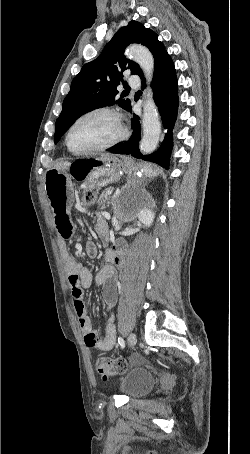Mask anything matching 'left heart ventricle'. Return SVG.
Returning a JSON list of instances; mask_svg holds the SVG:
<instances>
[{"label": "left heart ventricle", "mask_w": 250, "mask_h": 454, "mask_svg": "<svg viewBox=\"0 0 250 454\" xmlns=\"http://www.w3.org/2000/svg\"><path fill=\"white\" fill-rule=\"evenodd\" d=\"M118 128L114 118L109 114H95L83 119L72 130L71 146L84 150L104 144L114 138Z\"/></svg>", "instance_id": "left-heart-ventricle-1"}]
</instances>
